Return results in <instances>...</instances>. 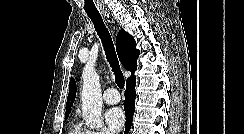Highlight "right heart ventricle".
I'll return each mask as SVG.
<instances>
[{
	"mask_svg": "<svg viewBox=\"0 0 244 134\" xmlns=\"http://www.w3.org/2000/svg\"><path fill=\"white\" fill-rule=\"evenodd\" d=\"M92 132L84 128L81 124L74 122L72 123L68 134H91Z\"/></svg>",
	"mask_w": 244,
	"mask_h": 134,
	"instance_id": "obj_1",
	"label": "right heart ventricle"
}]
</instances>
